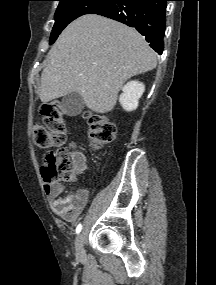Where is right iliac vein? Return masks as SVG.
I'll list each match as a JSON object with an SVG mask.
<instances>
[{
    "label": "right iliac vein",
    "instance_id": "1",
    "mask_svg": "<svg viewBox=\"0 0 216 285\" xmlns=\"http://www.w3.org/2000/svg\"><path fill=\"white\" fill-rule=\"evenodd\" d=\"M76 255L82 257L84 255V236L80 233L75 241Z\"/></svg>",
    "mask_w": 216,
    "mask_h": 285
}]
</instances>
